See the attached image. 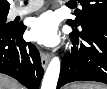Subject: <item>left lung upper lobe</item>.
<instances>
[{"mask_svg":"<svg viewBox=\"0 0 107 89\" xmlns=\"http://www.w3.org/2000/svg\"><path fill=\"white\" fill-rule=\"evenodd\" d=\"M83 9L76 11V19L67 21L78 27L91 20H107V0H79Z\"/></svg>","mask_w":107,"mask_h":89,"instance_id":"1","label":"left lung upper lobe"}]
</instances>
